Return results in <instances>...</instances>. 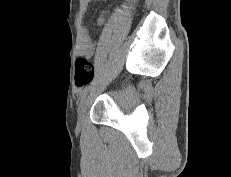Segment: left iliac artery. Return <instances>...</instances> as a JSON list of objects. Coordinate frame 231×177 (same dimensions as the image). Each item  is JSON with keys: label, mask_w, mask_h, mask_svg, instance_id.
<instances>
[{"label": "left iliac artery", "mask_w": 231, "mask_h": 177, "mask_svg": "<svg viewBox=\"0 0 231 177\" xmlns=\"http://www.w3.org/2000/svg\"><path fill=\"white\" fill-rule=\"evenodd\" d=\"M89 90H90V86H86L85 88H83V90L80 92V97L84 98Z\"/></svg>", "instance_id": "obj_1"}]
</instances>
